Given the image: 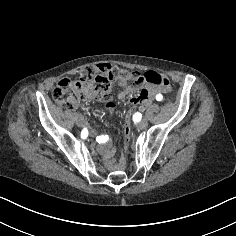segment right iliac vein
I'll list each match as a JSON object with an SVG mask.
<instances>
[{
	"label": "right iliac vein",
	"instance_id": "obj_1",
	"mask_svg": "<svg viewBox=\"0 0 236 236\" xmlns=\"http://www.w3.org/2000/svg\"><path fill=\"white\" fill-rule=\"evenodd\" d=\"M89 131L91 132V135H92V136H95V135H96V132H95L92 128H91Z\"/></svg>",
	"mask_w": 236,
	"mask_h": 236
}]
</instances>
